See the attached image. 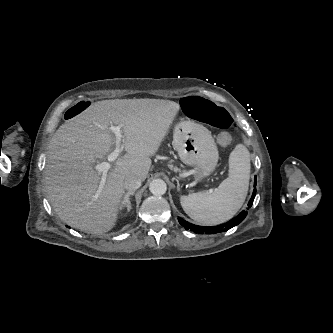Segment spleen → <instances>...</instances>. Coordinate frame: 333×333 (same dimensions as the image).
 I'll use <instances>...</instances> for the list:
<instances>
[{"mask_svg": "<svg viewBox=\"0 0 333 333\" xmlns=\"http://www.w3.org/2000/svg\"><path fill=\"white\" fill-rule=\"evenodd\" d=\"M250 153L239 144L229 156V176L213 192L202 191L181 196L185 213L203 225L229 220L243 205L249 186Z\"/></svg>", "mask_w": 333, "mask_h": 333, "instance_id": "obj_1", "label": "spleen"}]
</instances>
